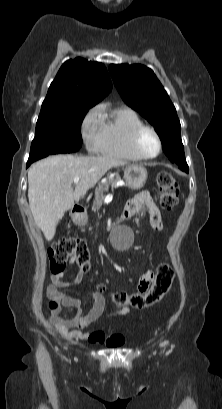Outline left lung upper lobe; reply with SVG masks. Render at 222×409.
<instances>
[{
    "label": "left lung upper lobe",
    "instance_id": "left-lung-upper-lobe-1",
    "mask_svg": "<svg viewBox=\"0 0 222 409\" xmlns=\"http://www.w3.org/2000/svg\"><path fill=\"white\" fill-rule=\"evenodd\" d=\"M109 71L126 104L155 127L170 161L187 172L176 109L154 72L140 64H111Z\"/></svg>",
    "mask_w": 222,
    "mask_h": 409
}]
</instances>
